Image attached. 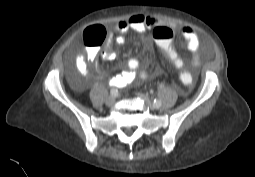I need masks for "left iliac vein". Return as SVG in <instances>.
Instances as JSON below:
<instances>
[{"instance_id": "left-iliac-vein-1", "label": "left iliac vein", "mask_w": 255, "mask_h": 177, "mask_svg": "<svg viewBox=\"0 0 255 177\" xmlns=\"http://www.w3.org/2000/svg\"><path fill=\"white\" fill-rule=\"evenodd\" d=\"M142 99H144V101L146 102V104L148 105V107L152 110L156 109L157 107L154 106V104L152 103V101L144 96L143 94H138Z\"/></svg>"}]
</instances>
